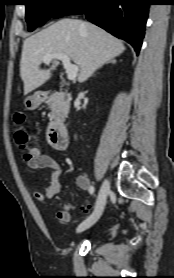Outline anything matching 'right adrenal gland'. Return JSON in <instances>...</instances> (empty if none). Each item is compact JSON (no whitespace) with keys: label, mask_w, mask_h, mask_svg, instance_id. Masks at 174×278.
Segmentation results:
<instances>
[{"label":"right adrenal gland","mask_w":174,"mask_h":278,"mask_svg":"<svg viewBox=\"0 0 174 278\" xmlns=\"http://www.w3.org/2000/svg\"><path fill=\"white\" fill-rule=\"evenodd\" d=\"M116 61L114 59H111L110 61H108L107 63H112L114 64ZM104 65V64H103ZM103 65H101L100 67H102Z\"/></svg>","instance_id":"1"}]
</instances>
